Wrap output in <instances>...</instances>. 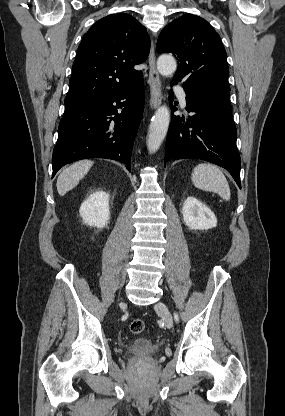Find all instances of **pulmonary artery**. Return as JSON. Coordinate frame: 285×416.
<instances>
[{
    "mask_svg": "<svg viewBox=\"0 0 285 416\" xmlns=\"http://www.w3.org/2000/svg\"><path fill=\"white\" fill-rule=\"evenodd\" d=\"M175 91L180 100L181 107L185 109L187 106V94H186L185 89L182 86H178L176 87Z\"/></svg>",
    "mask_w": 285,
    "mask_h": 416,
    "instance_id": "1",
    "label": "pulmonary artery"
}]
</instances>
